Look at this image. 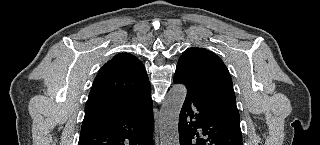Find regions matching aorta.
I'll return each mask as SVG.
<instances>
[{"label": "aorta", "mask_w": 320, "mask_h": 145, "mask_svg": "<svg viewBox=\"0 0 320 145\" xmlns=\"http://www.w3.org/2000/svg\"><path fill=\"white\" fill-rule=\"evenodd\" d=\"M187 94L182 84L174 85L166 96L160 112L161 145H179V114Z\"/></svg>", "instance_id": "aorta-1"}]
</instances>
